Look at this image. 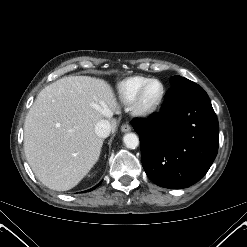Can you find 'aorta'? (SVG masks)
Wrapping results in <instances>:
<instances>
[{"label": "aorta", "mask_w": 247, "mask_h": 247, "mask_svg": "<svg viewBox=\"0 0 247 247\" xmlns=\"http://www.w3.org/2000/svg\"><path fill=\"white\" fill-rule=\"evenodd\" d=\"M125 146L129 149H135L139 145V138L134 133H126L123 137Z\"/></svg>", "instance_id": "aorta-1"}]
</instances>
